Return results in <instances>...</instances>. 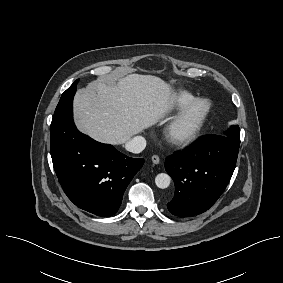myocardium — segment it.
Listing matches in <instances>:
<instances>
[{
  "mask_svg": "<svg viewBox=\"0 0 283 283\" xmlns=\"http://www.w3.org/2000/svg\"><path fill=\"white\" fill-rule=\"evenodd\" d=\"M211 111L208 99L197 98L186 105L165 130L167 141L177 147L193 143L201 134Z\"/></svg>",
  "mask_w": 283,
  "mask_h": 283,
  "instance_id": "f54148a6",
  "label": "myocardium"
}]
</instances>
